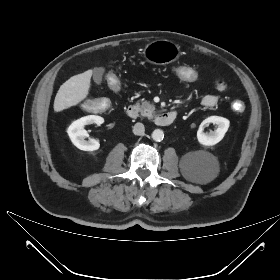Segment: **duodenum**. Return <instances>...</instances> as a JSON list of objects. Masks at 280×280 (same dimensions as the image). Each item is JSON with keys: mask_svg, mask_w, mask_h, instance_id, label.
Segmentation results:
<instances>
[{"mask_svg": "<svg viewBox=\"0 0 280 280\" xmlns=\"http://www.w3.org/2000/svg\"><path fill=\"white\" fill-rule=\"evenodd\" d=\"M127 116L131 119H137L140 116L139 107L135 104H131L126 109ZM176 111L168 110L158 115L155 122L159 126H168L176 118Z\"/></svg>", "mask_w": 280, "mask_h": 280, "instance_id": "duodenum-1", "label": "duodenum"}]
</instances>
